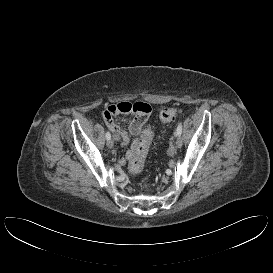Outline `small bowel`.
<instances>
[{"label":"small bowel","mask_w":273,"mask_h":273,"mask_svg":"<svg viewBox=\"0 0 273 273\" xmlns=\"http://www.w3.org/2000/svg\"><path fill=\"white\" fill-rule=\"evenodd\" d=\"M129 113L134 114V119L129 125V133L136 138L132 142L131 149L125 153L123 158L120 159L121 164H125L126 161L131 159L134 147L139 140L137 137L142 132L144 124L151 114V106L145 102L130 103L124 101L117 104L109 105L102 113L103 120L112 131L114 139L116 141H119L122 145H127L130 141V138L128 133L122 130L115 123L113 117L118 114Z\"/></svg>","instance_id":"small-bowel-1"}]
</instances>
